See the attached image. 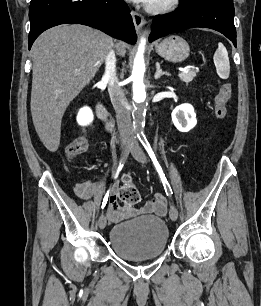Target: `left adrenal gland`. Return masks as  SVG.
Returning <instances> with one entry per match:
<instances>
[{
  "label": "left adrenal gland",
  "mask_w": 261,
  "mask_h": 306,
  "mask_svg": "<svg viewBox=\"0 0 261 306\" xmlns=\"http://www.w3.org/2000/svg\"><path fill=\"white\" fill-rule=\"evenodd\" d=\"M163 75L170 76V74L168 72L162 71L159 63H156V73L154 75V78L157 80Z\"/></svg>",
  "instance_id": "1"
}]
</instances>
